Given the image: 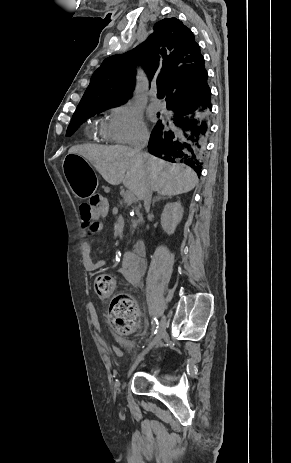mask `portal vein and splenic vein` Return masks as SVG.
I'll list each match as a JSON object with an SVG mask.
<instances>
[{"label": "portal vein and splenic vein", "instance_id": "1", "mask_svg": "<svg viewBox=\"0 0 291 463\" xmlns=\"http://www.w3.org/2000/svg\"><path fill=\"white\" fill-rule=\"evenodd\" d=\"M123 198H124V201L126 203L131 204L133 202V200H134V194L132 193V191L130 189H127L124 192Z\"/></svg>", "mask_w": 291, "mask_h": 463}]
</instances>
